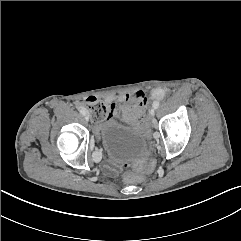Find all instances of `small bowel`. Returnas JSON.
<instances>
[{"mask_svg":"<svg viewBox=\"0 0 241 241\" xmlns=\"http://www.w3.org/2000/svg\"><path fill=\"white\" fill-rule=\"evenodd\" d=\"M154 96H158V93H154ZM108 101L112 109L120 110L122 120L129 124L142 127L141 122H146L149 119V114L143 111L148 100L146 92L142 89L123 95H115ZM99 130V127H96L97 134Z\"/></svg>","mask_w":241,"mask_h":241,"instance_id":"c3829d8e","label":"small bowel"}]
</instances>
